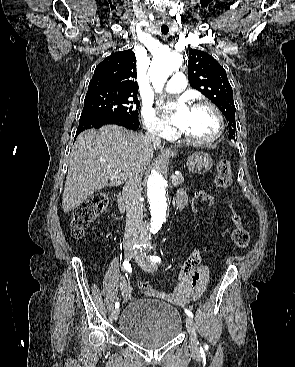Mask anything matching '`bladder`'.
Wrapping results in <instances>:
<instances>
[{"instance_id":"obj_1","label":"bladder","mask_w":295,"mask_h":367,"mask_svg":"<svg viewBox=\"0 0 295 367\" xmlns=\"http://www.w3.org/2000/svg\"><path fill=\"white\" fill-rule=\"evenodd\" d=\"M119 327L130 341L155 348L171 342L182 330L179 311L155 298L136 299L124 308Z\"/></svg>"}]
</instances>
